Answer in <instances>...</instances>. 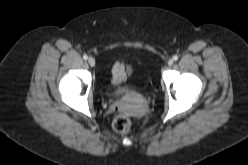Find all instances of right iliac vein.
<instances>
[{
    "mask_svg": "<svg viewBox=\"0 0 248 165\" xmlns=\"http://www.w3.org/2000/svg\"><path fill=\"white\" fill-rule=\"evenodd\" d=\"M88 63L90 66H94L95 65V59L93 57H89L88 58Z\"/></svg>",
    "mask_w": 248,
    "mask_h": 165,
    "instance_id": "obj_1",
    "label": "right iliac vein"
}]
</instances>
